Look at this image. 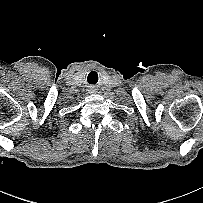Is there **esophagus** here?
I'll return each mask as SVG.
<instances>
[{
  "instance_id": "34e87169",
  "label": "esophagus",
  "mask_w": 203,
  "mask_h": 203,
  "mask_svg": "<svg viewBox=\"0 0 203 203\" xmlns=\"http://www.w3.org/2000/svg\"><path fill=\"white\" fill-rule=\"evenodd\" d=\"M93 91H94V88H91V89H90V92L92 93Z\"/></svg>"
}]
</instances>
